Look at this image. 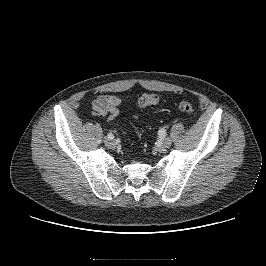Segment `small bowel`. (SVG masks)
Wrapping results in <instances>:
<instances>
[{
    "label": "small bowel",
    "mask_w": 266,
    "mask_h": 266,
    "mask_svg": "<svg viewBox=\"0 0 266 266\" xmlns=\"http://www.w3.org/2000/svg\"><path fill=\"white\" fill-rule=\"evenodd\" d=\"M121 105L122 101L116 95H100L91 104L96 113L107 117L109 120L119 116Z\"/></svg>",
    "instance_id": "1"
}]
</instances>
